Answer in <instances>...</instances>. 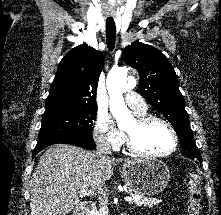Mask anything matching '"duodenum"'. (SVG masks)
<instances>
[{
	"instance_id": "410a0bca",
	"label": "duodenum",
	"mask_w": 221,
	"mask_h": 215,
	"mask_svg": "<svg viewBox=\"0 0 221 215\" xmlns=\"http://www.w3.org/2000/svg\"><path fill=\"white\" fill-rule=\"evenodd\" d=\"M94 211H95V204L91 201H88L83 204V206L76 215H93Z\"/></svg>"
}]
</instances>
